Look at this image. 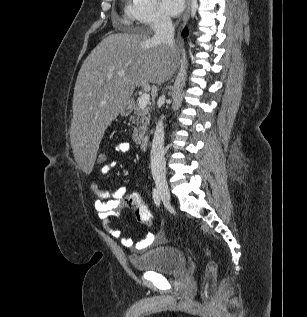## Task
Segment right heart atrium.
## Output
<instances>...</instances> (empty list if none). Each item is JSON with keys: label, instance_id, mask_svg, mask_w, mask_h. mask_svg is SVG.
I'll list each match as a JSON object with an SVG mask.
<instances>
[{"label": "right heart atrium", "instance_id": "obj_1", "mask_svg": "<svg viewBox=\"0 0 307 317\" xmlns=\"http://www.w3.org/2000/svg\"><path fill=\"white\" fill-rule=\"evenodd\" d=\"M130 19L148 27H162L169 23L156 0H131L128 9Z\"/></svg>", "mask_w": 307, "mask_h": 317}]
</instances>
